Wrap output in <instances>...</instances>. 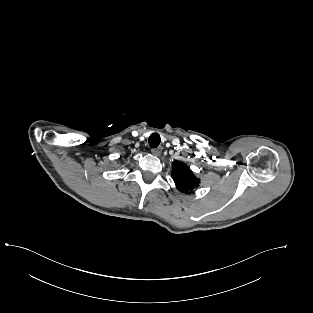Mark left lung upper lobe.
Segmentation results:
<instances>
[{"label": "left lung upper lobe", "instance_id": "left-lung-upper-lobe-1", "mask_svg": "<svg viewBox=\"0 0 313 313\" xmlns=\"http://www.w3.org/2000/svg\"><path fill=\"white\" fill-rule=\"evenodd\" d=\"M172 178L176 188L184 193L192 192L200 183L199 179L193 175L190 168L181 162L173 163Z\"/></svg>", "mask_w": 313, "mask_h": 313}]
</instances>
